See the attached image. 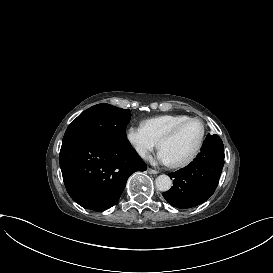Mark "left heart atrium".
Here are the masks:
<instances>
[{
    "label": "left heart atrium",
    "instance_id": "obj_1",
    "mask_svg": "<svg viewBox=\"0 0 273 273\" xmlns=\"http://www.w3.org/2000/svg\"><path fill=\"white\" fill-rule=\"evenodd\" d=\"M154 160L166 165L171 164L167 153L163 149H161V151L158 153Z\"/></svg>",
    "mask_w": 273,
    "mask_h": 273
}]
</instances>
